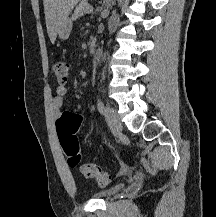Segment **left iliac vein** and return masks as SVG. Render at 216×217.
Listing matches in <instances>:
<instances>
[{"mask_svg": "<svg viewBox=\"0 0 216 217\" xmlns=\"http://www.w3.org/2000/svg\"><path fill=\"white\" fill-rule=\"evenodd\" d=\"M104 116L109 128L113 133H119L122 130V123L113 107L106 106Z\"/></svg>", "mask_w": 216, "mask_h": 217, "instance_id": "4c4485c4", "label": "left iliac vein"}]
</instances>
